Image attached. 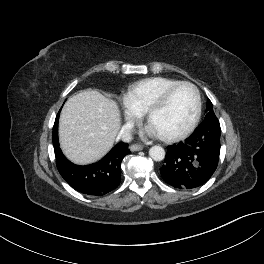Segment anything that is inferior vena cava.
<instances>
[{"instance_id": "obj_1", "label": "inferior vena cava", "mask_w": 264, "mask_h": 264, "mask_svg": "<svg viewBox=\"0 0 264 264\" xmlns=\"http://www.w3.org/2000/svg\"><path fill=\"white\" fill-rule=\"evenodd\" d=\"M133 125L130 123L125 124L118 133L117 139L124 142H130L132 140L131 130Z\"/></svg>"}]
</instances>
